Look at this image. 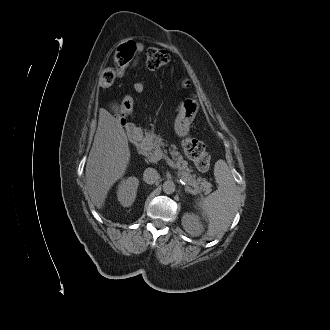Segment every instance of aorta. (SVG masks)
<instances>
[{
  "label": "aorta",
  "mask_w": 330,
  "mask_h": 330,
  "mask_svg": "<svg viewBox=\"0 0 330 330\" xmlns=\"http://www.w3.org/2000/svg\"><path fill=\"white\" fill-rule=\"evenodd\" d=\"M162 187H163V192L166 194H172L176 189L174 182L171 180L165 181Z\"/></svg>",
  "instance_id": "1"
}]
</instances>
